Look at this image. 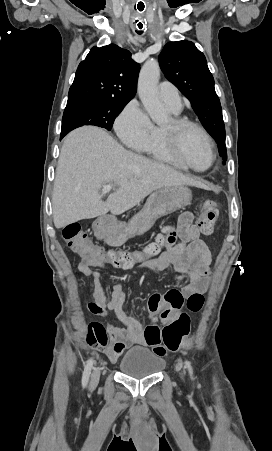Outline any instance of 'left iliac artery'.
Wrapping results in <instances>:
<instances>
[{
  "mask_svg": "<svg viewBox=\"0 0 272 451\" xmlns=\"http://www.w3.org/2000/svg\"><path fill=\"white\" fill-rule=\"evenodd\" d=\"M186 366H187V368L189 370L191 378H193V369H192V366H191L190 362L186 361Z\"/></svg>",
  "mask_w": 272,
  "mask_h": 451,
  "instance_id": "obj_1",
  "label": "left iliac artery"
}]
</instances>
